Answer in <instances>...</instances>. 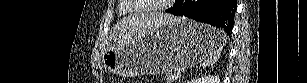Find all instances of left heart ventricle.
Masks as SVG:
<instances>
[{
	"label": "left heart ventricle",
	"instance_id": "obj_1",
	"mask_svg": "<svg viewBox=\"0 0 307 83\" xmlns=\"http://www.w3.org/2000/svg\"><path fill=\"white\" fill-rule=\"evenodd\" d=\"M166 1L167 0H139L138 3L142 4L143 7L149 8L159 6Z\"/></svg>",
	"mask_w": 307,
	"mask_h": 83
}]
</instances>
